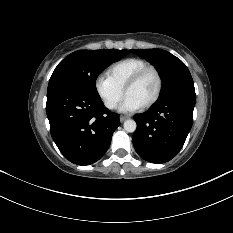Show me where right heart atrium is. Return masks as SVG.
<instances>
[{
	"mask_svg": "<svg viewBox=\"0 0 233 233\" xmlns=\"http://www.w3.org/2000/svg\"><path fill=\"white\" fill-rule=\"evenodd\" d=\"M94 87L99 99L109 110L115 109L123 97V90L105 75L96 77Z\"/></svg>",
	"mask_w": 233,
	"mask_h": 233,
	"instance_id": "right-heart-atrium-1",
	"label": "right heart atrium"
}]
</instances>
